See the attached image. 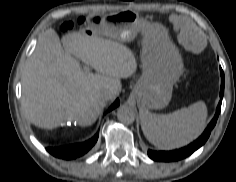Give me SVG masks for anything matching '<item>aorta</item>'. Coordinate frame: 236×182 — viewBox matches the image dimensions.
I'll return each instance as SVG.
<instances>
[{
    "label": "aorta",
    "mask_w": 236,
    "mask_h": 182,
    "mask_svg": "<svg viewBox=\"0 0 236 182\" xmlns=\"http://www.w3.org/2000/svg\"><path fill=\"white\" fill-rule=\"evenodd\" d=\"M117 118L123 124H132L135 120V112L131 107L122 105L118 108Z\"/></svg>",
    "instance_id": "obj_1"
}]
</instances>
